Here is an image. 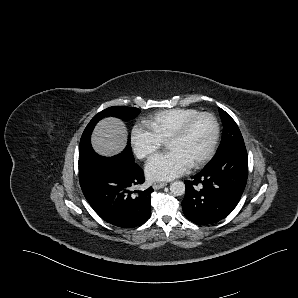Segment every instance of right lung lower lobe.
<instances>
[{
    "mask_svg": "<svg viewBox=\"0 0 298 298\" xmlns=\"http://www.w3.org/2000/svg\"><path fill=\"white\" fill-rule=\"evenodd\" d=\"M82 191L95 212L106 222L122 228H134L151 215L152 187L133 191L142 184L143 170L132 160L120 155L98 154L88 166L79 168Z\"/></svg>",
    "mask_w": 298,
    "mask_h": 298,
    "instance_id": "1",
    "label": "right lung lower lobe"
}]
</instances>
